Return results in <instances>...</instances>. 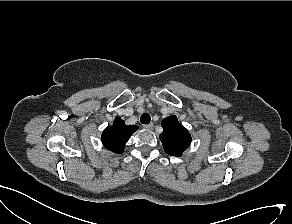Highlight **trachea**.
<instances>
[{"instance_id":"obj_1","label":"trachea","mask_w":292,"mask_h":224,"mask_svg":"<svg viewBox=\"0 0 292 224\" xmlns=\"http://www.w3.org/2000/svg\"><path fill=\"white\" fill-rule=\"evenodd\" d=\"M140 121L142 124H149L151 121V117L149 114L144 113L141 115Z\"/></svg>"}]
</instances>
